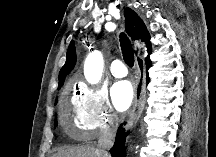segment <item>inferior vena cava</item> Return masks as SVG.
I'll return each instance as SVG.
<instances>
[{"label":"inferior vena cava","mask_w":216,"mask_h":157,"mask_svg":"<svg viewBox=\"0 0 216 157\" xmlns=\"http://www.w3.org/2000/svg\"><path fill=\"white\" fill-rule=\"evenodd\" d=\"M115 134L113 131L104 130L101 132L98 140V151L102 154L103 157H109L107 150L113 146Z\"/></svg>","instance_id":"1"}]
</instances>
